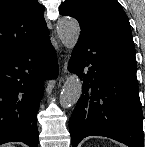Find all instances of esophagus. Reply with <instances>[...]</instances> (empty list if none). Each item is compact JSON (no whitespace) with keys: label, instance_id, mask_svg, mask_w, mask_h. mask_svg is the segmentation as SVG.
I'll return each instance as SVG.
<instances>
[{"label":"esophagus","instance_id":"1","mask_svg":"<svg viewBox=\"0 0 145 147\" xmlns=\"http://www.w3.org/2000/svg\"><path fill=\"white\" fill-rule=\"evenodd\" d=\"M63 70L66 71V62H64Z\"/></svg>","mask_w":145,"mask_h":147}]
</instances>
